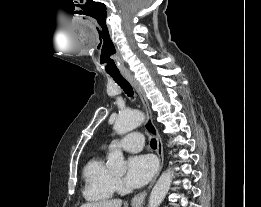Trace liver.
<instances>
[{"label":"liver","instance_id":"liver-1","mask_svg":"<svg viewBox=\"0 0 261 207\" xmlns=\"http://www.w3.org/2000/svg\"><path fill=\"white\" fill-rule=\"evenodd\" d=\"M121 199H112V200H101L96 202H88L82 204L80 207H121Z\"/></svg>","mask_w":261,"mask_h":207}]
</instances>
